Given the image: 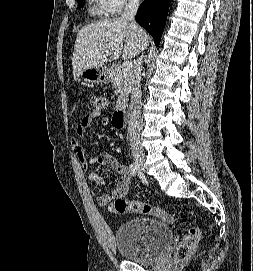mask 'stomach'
Returning <instances> with one entry per match:
<instances>
[{
    "instance_id": "stomach-1",
    "label": "stomach",
    "mask_w": 253,
    "mask_h": 271,
    "mask_svg": "<svg viewBox=\"0 0 253 271\" xmlns=\"http://www.w3.org/2000/svg\"><path fill=\"white\" fill-rule=\"evenodd\" d=\"M109 69L105 65L91 67L81 72L82 79L90 84L108 83L110 80Z\"/></svg>"
}]
</instances>
